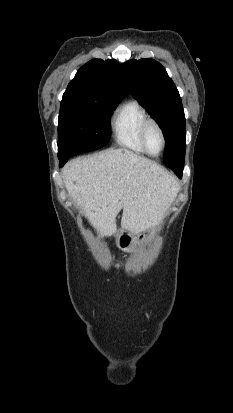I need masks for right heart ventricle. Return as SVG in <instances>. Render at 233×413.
Returning <instances> with one entry per match:
<instances>
[{
	"label": "right heart ventricle",
	"instance_id": "right-heart-ventricle-1",
	"mask_svg": "<svg viewBox=\"0 0 233 413\" xmlns=\"http://www.w3.org/2000/svg\"><path fill=\"white\" fill-rule=\"evenodd\" d=\"M147 118L149 117L146 109L140 101L130 99L123 103L117 108L111 121L115 143L132 152L145 154L140 142L139 131Z\"/></svg>",
	"mask_w": 233,
	"mask_h": 413
}]
</instances>
